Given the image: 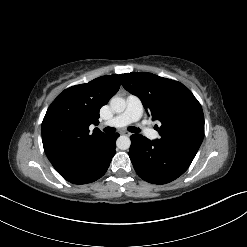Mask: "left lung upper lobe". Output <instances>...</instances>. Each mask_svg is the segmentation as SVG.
Returning <instances> with one entry per match:
<instances>
[{
  "label": "left lung upper lobe",
  "instance_id": "left-lung-upper-lobe-1",
  "mask_svg": "<svg viewBox=\"0 0 247 247\" xmlns=\"http://www.w3.org/2000/svg\"><path fill=\"white\" fill-rule=\"evenodd\" d=\"M120 77L123 87L140 98L147 114L161 122L157 141L194 158L204 137V115L192 92L180 82L151 73Z\"/></svg>",
  "mask_w": 247,
  "mask_h": 247
}]
</instances>
